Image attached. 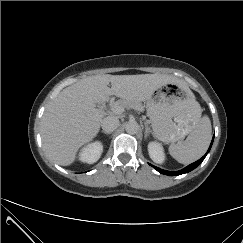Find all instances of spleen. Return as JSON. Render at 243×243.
<instances>
[{"label": "spleen", "mask_w": 243, "mask_h": 243, "mask_svg": "<svg viewBox=\"0 0 243 243\" xmlns=\"http://www.w3.org/2000/svg\"><path fill=\"white\" fill-rule=\"evenodd\" d=\"M198 119L194 129L185 141L171 144L169 147L170 155L179 163L190 164L201 158L207 151L210 141L212 127L208 116L201 118V108L197 103Z\"/></svg>", "instance_id": "spleen-1"}]
</instances>
